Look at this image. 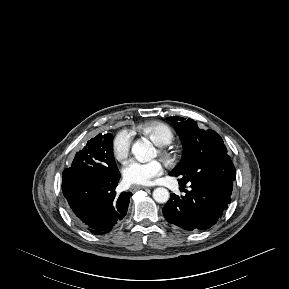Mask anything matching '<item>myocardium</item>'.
I'll return each instance as SVG.
<instances>
[{
  "label": "myocardium",
  "mask_w": 289,
  "mask_h": 289,
  "mask_svg": "<svg viewBox=\"0 0 289 289\" xmlns=\"http://www.w3.org/2000/svg\"><path fill=\"white\" fill-rule=\"evenodd\" d=\"M158 154L169 165H172L176 161V154L167 146H159Z\"/></svg>",
  "instance_id": "myocardium-1"
}]
</instances>
